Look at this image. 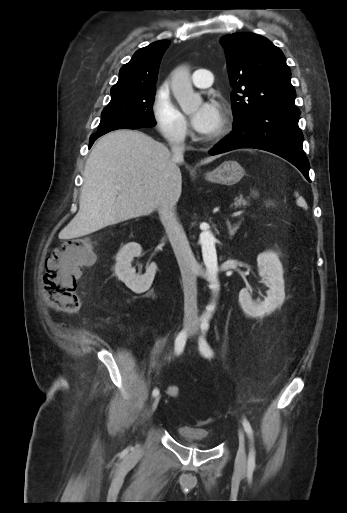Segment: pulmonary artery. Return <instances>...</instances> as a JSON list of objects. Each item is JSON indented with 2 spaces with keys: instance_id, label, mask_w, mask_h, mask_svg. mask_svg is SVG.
<instances>
[{
  "instance_id": "e3ab8cb5",
  "label": "pulmonary artery",
  "mask_w": 347,
  "mask_h": 513,
  "mask_svg": "<svg viewBox=\"0 0 347 513\" xmlns=\"http://www.w3.org/2000/svg\"><path fill=\"white\" fill-rule=\"evenodd\" d=\"M192 81L198 88H207L213 82V74L210 70L197 69L192 75Z\"/></svg>"
}]
</instances>
